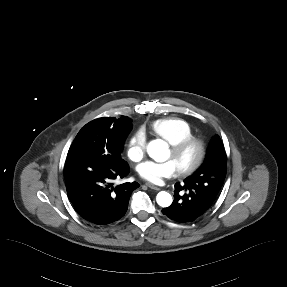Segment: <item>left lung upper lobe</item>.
Segmentation results:
<instances>
[{
	"label": "left lung upper lobe",
	"instance_id": "obj_1",
	"mask_svg": "<svg viewBox=\"0 0 287 287\" xmlns=\"http://www.w3.org/2000/svg\"><path fill=\"white\" fill-rule=\"evenodd\" d=\"M226 164L227 156L223 143L216 135L209 144L204 163L184 180V185L214 200L224 183Z\"/></svg>",
	"mask_w": 287,
	"mask_h": 287
}]
</instances>
